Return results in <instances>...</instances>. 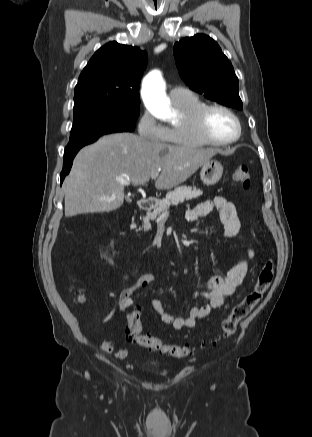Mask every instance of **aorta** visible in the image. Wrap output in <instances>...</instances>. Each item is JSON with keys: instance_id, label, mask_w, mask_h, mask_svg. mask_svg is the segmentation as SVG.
Returning a JSON list of instances; mask_svg holds the SVG:
<instances>
[{"instance_id": "obj_1", "label": "aorta", "mask_w": 312, "mask_h": 437, "mask_svg": "<svg viewBox=\"0 0 312 437\" xmlns=\"http://www.w3.org/2000/svg\"><path fill=\"white\" fill-rule=\"evenodd\" d=\"M141 94L145 106L154 117L164 121L172 118L170 100L159 71H152L144 78Z\"/></svg>"}]
</instances>
